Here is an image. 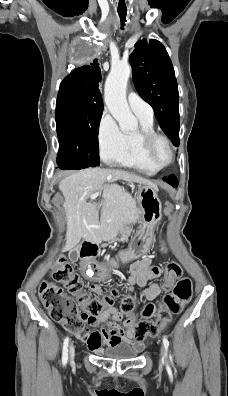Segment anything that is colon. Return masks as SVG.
<instances>
[{
    "label": "colon",
    "mask_w": 228,
    "mask_h": 396,
    "mask_svg": "<svg viewBox=\"0 0 228 396\" xmlns=\"http://www.w3.org/2000/svg\"><path fill=\"white\" fill-rule=\"evenodd\" d=\"M53 279L66 288L65 294L61 287L43 282L39 287V297L50 317L65 329L79 333L84 324H97L106 317L107 310L112 307L117 296L111 290L103 297H92L84 288L83 282L65 257L58 258L52 268ZM182 268L177 263H170L165 272L163 285L172 289L157 305L149 304L143 310V317L135 321L128 319L126 324L134 328L135 338L143 341L155 337L170 322L173 315L180 313L192 297V283L188 278H181ZM177 280V281H176ZM136 306L133 296H126L121 304L123 313H130ZM155 316L154 320L150 318Z\"/></svg>",
    "instance_id": "5ec220e1"
}]
</instances>
